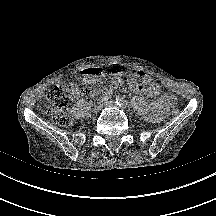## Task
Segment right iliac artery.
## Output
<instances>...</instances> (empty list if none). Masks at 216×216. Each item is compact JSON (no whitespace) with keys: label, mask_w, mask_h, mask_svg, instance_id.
<instances>
[{"label":"right iliac artery","mask_w":216,"mask_h":216,"mask_svg":"<svg viewBox=\"0 0 216 216\" xmlns=\"http://www.w3.org/2000/svg\"><path fill=\"white\" fill-rule=\"evenodd\" d=\"M112 96L111 92H106L102 97H101V101H108Z\"/></svg>","instance_id":"1"}]
</instances>
